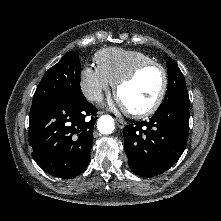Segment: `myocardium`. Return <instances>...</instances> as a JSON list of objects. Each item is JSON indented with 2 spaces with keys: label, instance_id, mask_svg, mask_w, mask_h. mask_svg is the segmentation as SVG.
<instances>
[{
  "label": "myocardium",
  "instance_id": "obj_1",
  "mask_svg": "<svg viewBox=\"0 0 221 221\" xmlns=\"http://www.w3.org/2000/svg\"><path fill=\"white\" fill-rule=\"evenodd\" d=\"M148 68H158L161 71L163 77L162 86L155 101L149 107L138 111L127 110V113L134 118H145L151 116L161 106L162 102L164 101L165 95L167 93L168 84H169V77L167 70L162 64L158 62L155 61L144 62L134 67L131 71H129L126 75H124L115 84V94L118 96V93L123 86L132 82L142 71Z\"/></svg>",
  "mask_w": 221,
  "mask_h": 221
}]
</instances>
